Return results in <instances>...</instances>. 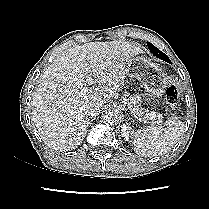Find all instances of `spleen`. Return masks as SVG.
<instances>
[{
	"label": "spleen",
	"mask_w": 209,
	"mask_h": 209,
	"mask_svg": "<svg viewBox=\"0 0 209 209\" xmlns=\"http://www.w3.org/2000/svg\"><path fill=\"white\" fill-rule=\"evenodd\" d=\"M183 131L184 123L175 117L168 118L163 125L141 128L134 141V150L144 157L163 154L178 142Z\"/></svg>",
	"instance_id": "spleen-1"
}]
</instances>
